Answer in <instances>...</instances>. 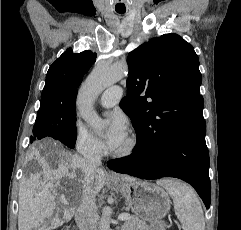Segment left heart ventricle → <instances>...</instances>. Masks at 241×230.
I'll return each mask as SVG.
<instances>
[{
  "mask_svg": "<svg viewBox=\"0 0 241 230\" xmlns=\"http://www.w3.org/2000/svg\"><path fill=\"white\" fill-rule=\"evenodd\" d=\"M125 143H126V140L117 149H121L122 147H124Z\"/></svg>",
  "mask_w": 241,
  "mask_h": 230,
  "instance_id": "left-heart-ventricle-1",
  "label": "left heart ventricle"
}]
</instances>
